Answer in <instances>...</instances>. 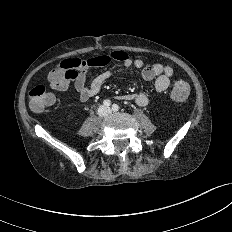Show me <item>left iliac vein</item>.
I'll return each mask as SVG.
<instances>
[{
	"mask_svg": "<svg viewBox=\"0 0 232 232\" xmlns=\"http://www.w3.org/2000/svg\"><path fill=\"white\" fill-rule=\"evenodd\" d=\"M107 112L110 114V113H111V110H110V109H107Z\"/></svg>",
	"mask_w": 232,
	"mask_h": 232,
	"instance_id": "obj_1",
	"label": "left iliac vein"
}]
</instances>
